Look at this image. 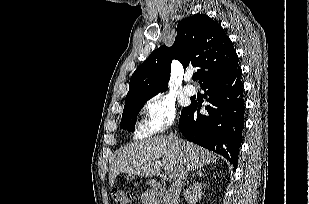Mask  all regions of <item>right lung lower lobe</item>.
<instances>
[{"label": "right lung lower lobe", "mask_w": 309, "mask_h": 204, "mask_svg": "<svg viewBox=\"0 0 309 204\" xmlns=\"http://www.w3.org/2000/svg\"><path fill=\"white\" fill-rule=\"evenodd\" d=\"M239 65L201 85L208 114L202 115L200 105L186 107L179 120L183 136L199 146L225 157L236 168L244 129V86Z\"/></svg>", "instance_id": "right-lung-lower-lobe-1"}]
</instances>
